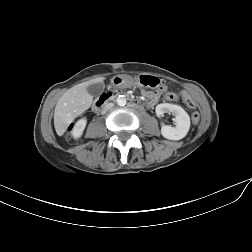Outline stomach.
<instances>
[{"instance_id":"0dacf381","label":"stomach","mask_w":252,"mask_h":252,"mask_svg":"<svg viewBox=\"0 0 252 252\" xmlns=\"http://www.w3.org/2000/svg\"><path fill=\"white\" fill-rule=\"evenodd\" d=\"M129 82V78L124 75H116L112 78V83L115 86H121ZM135 84L140 86V87H148V88H153L154 86L157 85L155 76L147 73L140 74L136 79H135Z\"/></svg>"}]
</instances>
